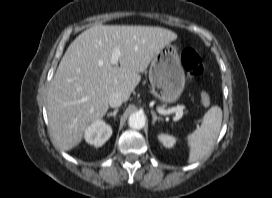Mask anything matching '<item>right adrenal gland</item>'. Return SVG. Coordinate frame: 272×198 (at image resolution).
<instances>
[{
    "label": "right adrenal gland",
    "instance_id": "2a0ac1e0",
    "mask_svg": "<svg viewBox=\"0 0 272 198\" xmlns=\"http://www.w3.org/2000/svg\"><path fill=\"white\" fill-rule=\"evenodd\" d=\"M118 111H119V109H118V108H115L112 112H109V113L107 114V117L113 116L114 119H116V114H117Z\"/></svg>",
    "mask_w": 272,
    "mask_h": 198
}]
</instances>
